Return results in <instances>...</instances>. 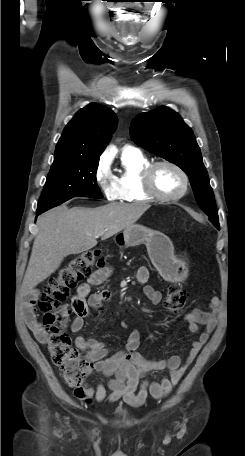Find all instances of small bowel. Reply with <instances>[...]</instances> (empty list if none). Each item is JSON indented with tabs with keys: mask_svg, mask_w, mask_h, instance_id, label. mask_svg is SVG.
I'll list each match as a JSON object with an SVG mask.
<instances>
[{
	"mask_svg": "<svg viewBox=\"0 0 245 456\" xmlns=\"http://www.w3.org/2000/svg\"><path fill=\"white\" fill-rule=\"evenodd\" d=\"M111 271L108 266L100 267L77 288L76 295L72 300L75 316L69 324L67 320L63 322L65 326H69L71 332L77 333L82 329L90 309L100 311L103 304L110 299V292L107 289L92 292V288L102 284L110 276ZM136 278L140 284H145L149 279L148 269L139 268ZM143 294L153 304H159L163 298L162 293L150 285L144 286ZM37 298L36 291L30 293L24 303L22 314L35 338L41 343H46L48 340L47 333L35 315ZM219 315L220 299L218 297L210 299L209 311L196 309L185 314L184 319L190 332H199L200 326H204V330L199 334L198 339L192 342L191 349L184 362L178 355L159 361L143 357L137 352L140 343V333L137 330L130 331L124 348L112 355H108L109 351L105 343L78 335L75 339L77 348L86 353L88 360L94 363L95 369L108 377V381L106 384L98 383L96 387L89 384L80 385L75 389V396L84 402L95 399L100 403L114 402L122 398L133 407L143 405L148 396L154 399L166 397L208 341L217 325ZM164 370L168 371V377L161 381L143 380L149 373ZM107 390H110L109 394Z\"/></svg>",
	"mask_w": 245,
	"mask_h": 456,
	"instance_id": "obj_1",
	"label": "small bowel"
}]
</instances>
